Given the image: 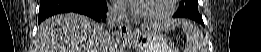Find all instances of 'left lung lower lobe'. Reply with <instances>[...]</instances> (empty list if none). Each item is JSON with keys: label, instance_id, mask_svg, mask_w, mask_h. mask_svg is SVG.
I'll return each mask as SVG.
<instances>
[{"label": "left lung lower lobe", "instance_id": "obj_1", "mask_svg": "<svg viewBox=\"0 0 261 52\" xmlns=\"http://www.w3.org/2000/svg\"><path fill=\"white\" fill-rule=\"evenodd\" d=\"M174 16H175V17H177V16H176V14H175ZM201 24H203V25H204V23H201Z\"/></svg>", "mask_w": 261, "mask_h": 52}]
</instances>
